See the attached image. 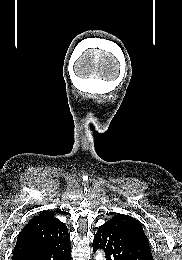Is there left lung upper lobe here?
Here are the masks:
<instances>
[{
	"label": "left lung upper lobe",
	"mask_w": 182,
	"mask_h": 260,
	"mask_svg": "<svg viewBox=\"0 0 182 260\" xmlns=\"http://www.w3.org/2000/svg\"><path fill=\"white\" fill-rule=\"evenodd\" d=\"M102 226L117 229L149 244L140 222L131 216L119 214Z\"/></svg>",
	"instance_id": "obj_1"
}]
</instances>
